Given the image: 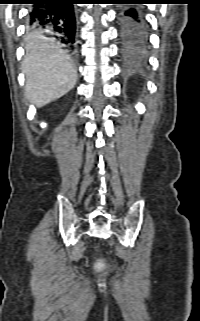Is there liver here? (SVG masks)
<instances>
[{
	"instance_id": "1",
	"label": "liver",
	"mask_w": 200,
	"mask_h": 321,
	"mask_svg": "<svg viewBox=\"0 0 200 321\" xmlns=\"http://www.w3.org/2000/svg\"><path fill=\"white\" fill-rule=\"evenodd\" d=\"M25 51L22 70L25 95L31 103L43 107L75 86L77 71L58 42L35 32L26 38Z\"/></svg>"
}]
</instances>
